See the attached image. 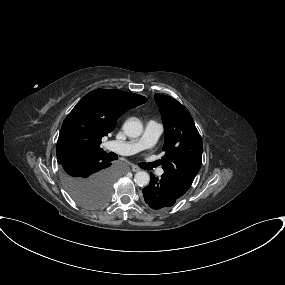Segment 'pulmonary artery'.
Listing matches in <instances>:
<instances>
[{"label":"pulmonary artery","mask_w":285,"mask_h":285,"mask_svg":"<svg viewBox=\"0 0 285 285\" xmlns=\"http://www.w3.org/2000/svg\"><path fill=\"white\" fill-rule=\"evenodd\" d=\"M163 132V126L154 120H150L145 125V131L141 138L129 141L110 140L105 143V147L120 155H132L147 147L152 146ZM158 175L163 174V170L157 171Z\"/></svg>","instance_id":"pulmonary-artery-1"}]
</instances>
